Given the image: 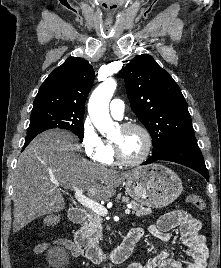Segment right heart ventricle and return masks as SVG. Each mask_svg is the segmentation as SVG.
<instances>
[{"mask_svg":"<svg viewBox=\"0 0 221 268\" xmlns=\"http://www.w3.org/2000/svg\"><path fill=\"white\" fill-rule=\"evenodd\" d=\"M107 144V153L106 156L104 157L102 163L105 164H113L114 163V152H113V148H112V144L110 142H106Z\"/></svg>","mask_w":221,"mask_h":268,"instance_id":"1","label":"right heart ventricle"}]
</instances>
